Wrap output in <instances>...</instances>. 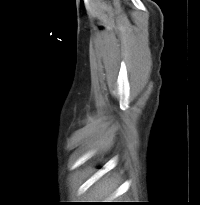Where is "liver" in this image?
Returning <instances> with one entry per match:
<instances>
[{
  "label": "liver",
  "instance_id": "6515ba94",
  "mask_svg": "<svg viewBox=\"0 0 200 205\" xmlns=\"http://www.w3.org/2000/svg\"><path fill=\"white\" fill-rule=\"evenodd\" d=\"M116 188V182L108 180L96 187L97 194L100 198L107 197Z\"/></svg>",
  "mask_w": 200,
  "mask_h": 205
}]
</instances>
